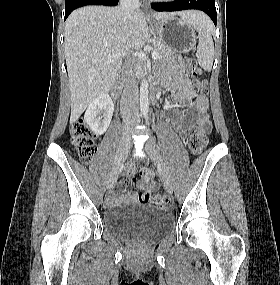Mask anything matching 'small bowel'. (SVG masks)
Segmentation results:
<instances>
[{
  "label": "small bowel",
  "mask_w": 280,
  "mask_h": 285,
  "mask_svg": "<svg viewBox=\"0 0 280 285\" xmlns=\"http://www.w3.org/2000/svg\"><path fill=\"white\" fill-rule=\"evenodd\" d=\"M168 85L173 92L174 101L177 104L183 105L186 102H190L187 108L193 107L196 109V115L200 124H209L208 117V101L204 96H197L193 102L191 100L195 97L194 86L189 78L180 72V68L177 66L173 72V76L168 80ZM174 128L181 134H185L186 127L181 121H173ZM211 127V125H210ZM136 171L134 163H130L125 168L127 175H132ZM124 185V183H122ZM140 192H126L124 194L110 193L107 197L109 204H115L118 202H130V203H146L150 198V188L156 189V185L153 183L150 188H147L144 184L139 183Z\"/></svg>",
  "instance_id": "obj_1"
}]
</instances>
